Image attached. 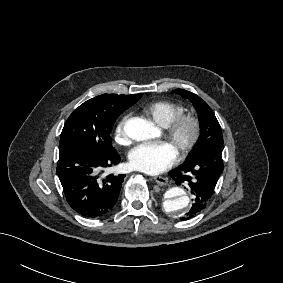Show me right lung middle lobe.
<instances>
[{
	"instance_id": "dd1d6c3e",
	"label": "right lung middle lobe",
	"mask_w": 283,
	"mask_h": 283,
	"mask_svg": "<svg viewBox=\"0 0 283 283\" xmlns=\"http://www.w3.org/2000/svg\"><path fill=\"white\" fill-rule=\"evenodd\" d=\"M142 95L103 94L87 100L67 119L59 147L79 143L99 153L112 151L110 133L115 120Z\"/></svg>"
}]
</instances>
